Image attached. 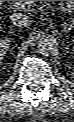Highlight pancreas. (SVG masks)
<instances>
[{
  "label": "pancreas",
  "mask_w": 74,
  "mask_h": 122,
  "mask_svg": "<svg viewBox=\"0 0 74 122\" xmlns=\"http://www.w3.org/2000/svg\"><path fill=\"white\" fill-rule=\"evenodd\" d=\"M15 6L19 9L26 10L34 5V1H13Z\"/></svg>",
  "instance_id": "1"
}]
</instances>
